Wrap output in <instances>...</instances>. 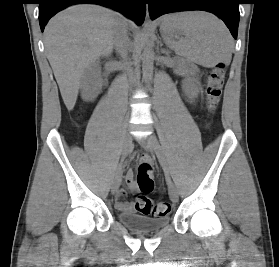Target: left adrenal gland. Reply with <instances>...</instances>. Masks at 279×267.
Here are the masks:
<instances>
[{
	"instance_id": "a2214340",
	"label": "left adrenal gland",
	"mask_w": 279,
	"mask_h": 267,
	"mask_svg": "<svg viewBox=\"0 0 279 267\" xmlns=\"http://www.w3.org/2000/svg\"><path fill=\"white\" fill-rule=\"evenodd\" d=\"M162 53H165L166 55H169V53H168V51H166V50H162Z\"/></svg>"
}]
</instances>
